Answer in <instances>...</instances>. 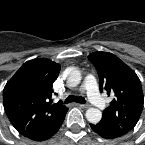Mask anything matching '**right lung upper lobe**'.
Wrapping results in <instances>:
<instances>
[{"mask_svg": "<svg viewBox=\"0 0 145 145\" xmlns=\"http://www.w3.org/2000/svg\"><path fill=\"white\" fill-rule=\"evenodd\" d=\"M60 65L45 58L25 62L7 82L3 105L15 129L26 136L49 126L64 111L62 102L53 103L52 84Z\"/></svg>", "mask_w": 145, "mask_h": 145, "instance_id": "cb5924a9", "label": "right lung upper lobe"}]
</instances>
